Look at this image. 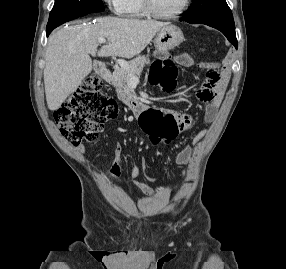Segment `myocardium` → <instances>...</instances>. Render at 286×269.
<instances>
[{
    "label": "myocardium",
    "instance_id": "obj_1",
    "mask_svg": "<svg viewBox=\"0 0 286 269\" xmlns=\"http://www.w3.org/2000/svg\"><path fill=\"white\" fill-rule=\"evenodd\" d=\"M191 0H184L182 6L169 14H161L157 12L153 6L152 0H141L142 7L146 15L155 18V19H173L180 16L183 12H185L190 6Z\"/></svg>",
    "mask_w": 286,
    "mask_h": 269
}]
</instances>
